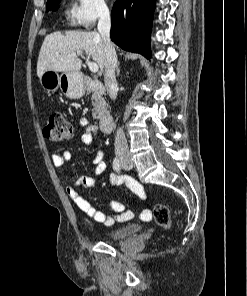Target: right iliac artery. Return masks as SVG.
<instances>
[{
    "mask_svg": "<svg viewBox=\"0 0 247 296\" xmlns=\"http://www.w3.org/2000/svg\"><path fill=\"white\" fill-rule=\"evenodd\" d=\"M113 168L117 173H120L121 167H120V161L118 158H115L113 161Z\"/></svg>",
    "mask_w": 247,
    "mask_h": 296,
    "instance_id": "obj_1",
    "label": "right iliac artery"
}]
</instances>
